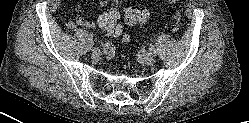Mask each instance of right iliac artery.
<instances>
[{
    "label": "right iliac artery",
    "instance_id": "1",
    "mask_svg": "<svg viewBox=\"0 0 249 123\" xmlns=\"http://www.w3.org/2000/svg\"><path fill=\"white\" fill-rule=\"evenodd\" d=\"M104 51H109V50H111V44L110 43H106L105 45H104Z\"/></svg>",
    "mask_w": 249,
    "mask_h": 123
}]
</instances>
